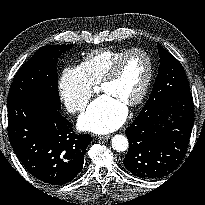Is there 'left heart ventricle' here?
<instances>
[{"label":"left heart ventricle","instance_id":"obj_1","mask_svg":"<svg viewBox=\"0 0 205 205\" xmlns=\"http://www.w3.org/2000/svg\"><path fill=\"white\" fill-rule=\"evenodd\" d=\"M148 68L147 58L142 54H134L123 63L117 78L101 87L100 91L127 105L140 93Z\"/></svg>","mask_w":205,"mask_h":205}]
</instances>
